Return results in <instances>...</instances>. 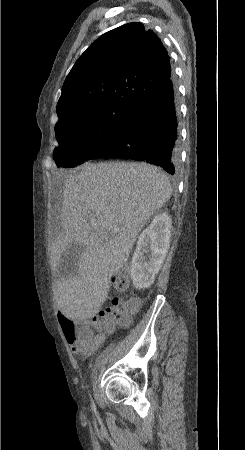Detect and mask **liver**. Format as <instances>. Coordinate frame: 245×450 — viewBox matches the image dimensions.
<instances>
[{
  "label": "liver",
  "instance_id": "6515ba94",
  "mask_svg": "<svg viewBox=\"0 0 245 450\" xmlns=\"http://www.w3.org/2000/svg\"><path fill=\"white\" fill-rule=\"evenodd\" d=\"M79 170L65 181L63 231L51 247L53 271L67 246L84 247L76 274L55 284L57 306L72 319L90 318L101 309L110 278L127 262L138 234L172 193L168 177L146 163H86ZM113 228L119 232L111 233Z\"/></svg>",
  "mask_w": 245,
  "mask_h": 450
}]
</instances>
